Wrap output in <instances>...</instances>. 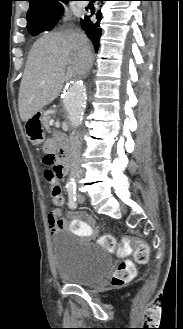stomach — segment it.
<instances>
[{"mask_svg": "<svg viewBox=\"0 0 183 329\" xmlns=\"http://www.w3.org/2000/svg\"><path fill=\"white\" fill-rule=\"evenodd\" d=\"M36 115H39L40 118H42L43 111H42V110L38 111V113H37ZM29 137H31V136H29ZM43 140H44V136L42 135L41 138H38V139H31V142H32V143H35V144H38V143L43 142Z\"/></svg>", "mask_w": 183, "mask_h": 329, "instance_id": "stomach-1", "label": "stomach"}]
</instances>
